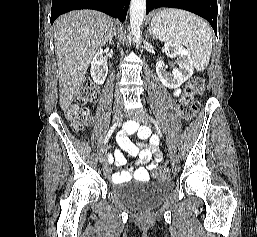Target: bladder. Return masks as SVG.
Returning <instances> with one entry per match:
<instances>
[{"mask_svg": "<svg viewBox=\"0 0 257 237\" xmlns=\"http://www.w3.org/2000/svg\"><path fill=\"white\" fill-rule=\"evenodd\" d=\"M143 183L144 187L127 190L121 196V200L133 210H151L158 207L172 190L171 180L143 181Z\"/></svg>", "mask_w": 257, "mask_h": 237, "instance_id": "bladder-1", "label": "bladder"}]
</instances>
